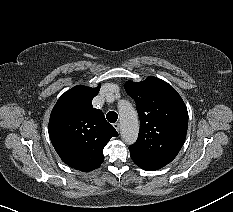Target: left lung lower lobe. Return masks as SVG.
<instances>
[{"label":"left lung lower lobe","mask_w":233,"mask_h":212,"mask_svg":"<svg viewBox=\"0 0 233 212\" xmlns=\"http://www.w3.org/2000/svg\"><path fill=\"white\" fill-rule=\"evenodd\" d=\"M139 167L143 168L144 170H148V171H154L153 169H149V168H146V167H143V166H140L138 165Z\"/></svg>","instance_id":"left-lung-lower-lobe-1"}]
</instances>
